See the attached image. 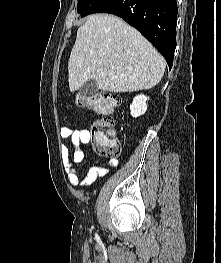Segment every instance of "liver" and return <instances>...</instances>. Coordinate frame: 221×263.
Wrapping results in <instances>:
<instances>
[{
	"label": "liver",
	"instance_id": "obj_1",
	"mask_svg": "<svg viewBox=\"0 0 221 263\" xmlns=\"http://www.w3.org/2000/svg\"><path fill=\"white\" fill-rule=\"evenodd\" d=\"M166 62L153 45L119 17L95 14L78 28L68 61L71 92L88 80L107 92L151 89Z\"/></svg>",
	"mask_w": 221,
	"mask_h": 263
}]
</instances>
